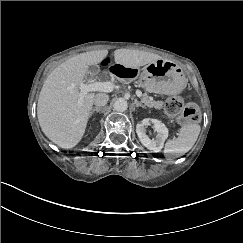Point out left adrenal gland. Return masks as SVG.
I'll list each match as a JSON object with an SVG mask.
<instances>
[{
    "instance_id": "a2214340",
    "label": "left adrenal gland",
    "mask_w": 243,
    "mask_h": 243,
    "mask_svg": "<svg viewBox=\"0 0 243 243\" xmlns=\"http://www.w3.org/2000/svg\"><path fill=\"white\" fill-rule=\"evenodd\" d=\"M134 104L136 105V107L146 108V106L139 102L137 99L134 100Z\"/></svg>"
}]
</instances>
